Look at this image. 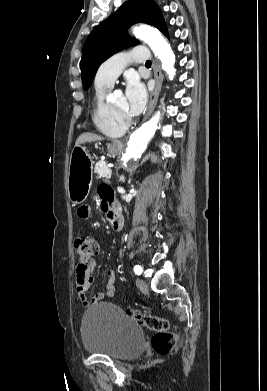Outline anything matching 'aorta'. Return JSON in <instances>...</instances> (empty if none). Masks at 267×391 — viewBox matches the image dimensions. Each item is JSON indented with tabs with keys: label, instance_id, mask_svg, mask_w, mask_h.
Masks as SVG:
<instances>
[{
	"label": "aorta",
	"instance_id": "obj_1",
	"mask_svg": "<svg viewBox=\"0 0 267 391\" xmlns=\"http://www.w3.org/2000/svg\"><path fill=\"white\" fill-rule=\"evenodd\" d=\"M134 35L147 43L155 56L160 60L162 69L172 80L175 75V55L160 32L150 26L141 25L133 28ZM160 120V112H157L149 121L140 126L128 141L126 151L122 155L125 164L139 158L147 147L148 142L154 136Z\"/></svg>",
	"mask_w": 267,
	"mask_h": 391
}]
</instances>
